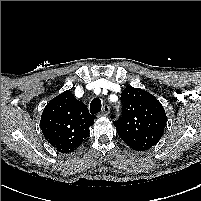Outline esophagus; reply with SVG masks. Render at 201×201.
Listing matches in <instances>:
<instances>
[{"label":"esophagus","mask_w":201,"mask_h":201,"mask_svg":"<svg viewBox=\"0 0 201 201\" xmlns=\"http://www.w3.org/2000/svg\"><path fill=\"white\" fill-rule=\"evenodd\" d=\"M110 113V107L108 105H104L101 111L102 115H108Z\"/></svg>","instance_id":"obj_1"}]
</instances>
